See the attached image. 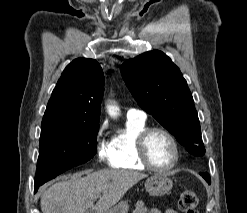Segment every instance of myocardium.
<instances>
[{
	"instance_id": "myocardium-1",
	"label": "myocardium",
	"mask_w": 247,
	"mask_h": 213,
	"mask_svg": "<svg viewBox=\"0 0 247 213\" xmlns=\"http://www.w3.org/2000/svg\"><path fill=\"white\" fill-rule=\"evenodd\" d=\"M154 132H161V133L165 134L172 143L173 150H174V158H173L172 163L166 167L155 166L150 161V159L147 155V150H146L147 139ZM136 155H137L138 160L146 168H148L152 171H155V172L165 173V172H168V171L174 169L177 166L179 159H180V148H179L178 141L172 132H170L168 129H166L164 127L153 126V127H147L145 129H143L138 134L137 139H136Z\"/></svg>"
}]
</instances>
